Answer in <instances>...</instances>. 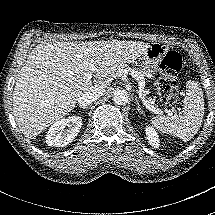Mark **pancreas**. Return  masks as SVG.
Wrapping results in <instances>:
<instances>
[{
	"instance_id": "1",
	"label": "pancreas",
	"mask_w": 215,
	"mask_h": 215,
	"mask_svg": "<svg viewBox=\"0 0 215 215\" xmlns=\"http://www.w3.org/2000/svg\"><path fill=\"white\" fill-rule=\"evenodd\" d=\"M136 72H137V73H139L138 71H136ZM140 78H141V79H143V77H142V76H141Z\"/></svg>"
}]
</instances>
